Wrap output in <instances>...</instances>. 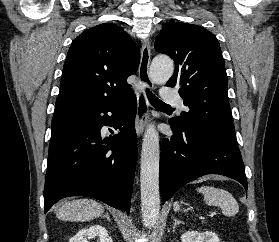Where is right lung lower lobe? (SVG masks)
<instances>
[{"mask_svg":"<svg viewBox=\"0 0 279 242\" xmlns=\"http://www.w3.org/2000/svg\"><path fill=\"white\" fill-rule=\"evenodd\" d=\"M136 110L132 94L115 106L72 114L51 132L45 212L64 197L87 196L129 213L137 161ZM108 112L120 133L103 139L102 126L112 122Z\"/></svg>","mask_w":279,"mask_h":242,"instance_id":"right-lung-lower-lobe-1","label":"right lung lower lobe"}]
</instances>
